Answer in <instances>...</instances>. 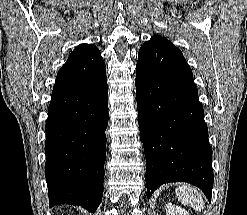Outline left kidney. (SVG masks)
<instances>
[{
	"label": "left kidney",
	"instance_id": "5707ae66",
	"mask_svg": "<svg viewBox=\"0 0 247 215\" xmlns=\"http://www.w3.org/2000/svg\"><path fill=\"white\" fill-rule=\"evenodd\" d=\"M165 210L167 215H189L184 208L172 204H166Z\"/></svg>",
	"mask_w": 247,
	"mask_h": 215
}]
</instances>
